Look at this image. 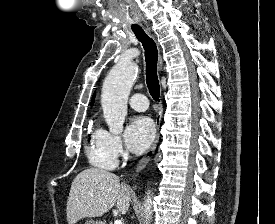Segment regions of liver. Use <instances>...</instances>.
<instances>
[{
    "mask_svg": "<svg viewBox=\"0 0 275 224\" xmlns=\"http://www.w3.org/2000/svg\"><path fill=\"white\" fill-rule=\"evenodd\" d=\"M130 189L109 171L89 168L80 172L71 184L67 201L68 224L86 217H101L114 205L125 214L130 205Z\"/></svg>",
    "mask_w": 275,
    "mask_h": 224,
    "instance_id": "1",
    "label": "liver"
}]
</instances>
